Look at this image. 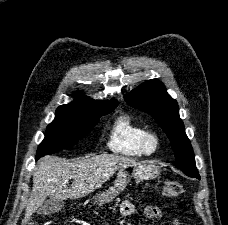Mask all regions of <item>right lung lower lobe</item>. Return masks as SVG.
<instances>
[{
  "mask_svg": "<svg viewBox=\"0 0 228 225\" xmlns=\"http://www.w3.org/2000/svg\"><path fill=\"white\" fill-rule=\"evenodd\" d=\"M39 158H40V157H37V156H36V160H38Z\"/></svg>",
  "mask_w": 228,
  "mask_h": 225,
  "instance_id": "right-lung-lower-lobe-1",
  "label": "right lung lower lobe"
}]
</instances>
